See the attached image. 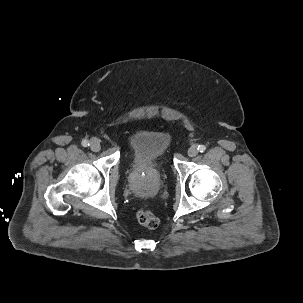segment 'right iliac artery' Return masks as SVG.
<instances>
[{
    "mask_svg": "<svg viewBox=\"0 0 303 303\" xmlns=\"http://www.w3.org/2000/svg\"><path fill=\"white\" fill-rule=\"evenodd\" d=\"M82 145L84 146V147H87V146H89V142H88V140H83L82 141Z\"/></svg>",
    "mask_w": 303,
    "mask_h": 303,
    "instance_id": "82829eb1",
    "label": "right iliac artery"
}]
</instances>
